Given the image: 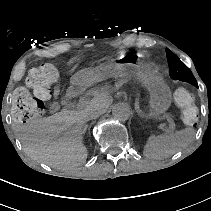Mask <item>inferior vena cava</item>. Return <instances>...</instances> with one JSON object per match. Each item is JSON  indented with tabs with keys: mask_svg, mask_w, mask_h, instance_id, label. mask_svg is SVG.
<instances>
[{
	"mask_svg": "<svg viewBox=\"0 0 211 211\" xmlns=\"http://www.w3.org/2000/svg\"><path fill=\"white\" fill-rule=\"evenodd\" d=\"M83 113H84V120L88 121V120L96 119L99 116H101L104 113V109L97 108L94 105L90 104V105H87L83 109Z\"/></svg>",
	"mask_w": 211,
	"mask_h": 211,
	"instance_id": "obj_1",
	"label": "inferior vena cava"
}]
</instances>
